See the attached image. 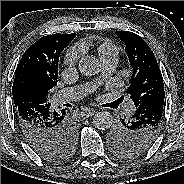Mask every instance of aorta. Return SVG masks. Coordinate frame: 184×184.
I'll return each mask as SVG.
<instances>
[{"mask_svg":"<svg viewBox=\"0 0 184 184\" xmlns=\"http://www.w3.org/2000/svg\"><path fill=\"white\" fill-rule=\"evenodd\" d=\"M78 69L81 74L92 76L101 70L98 59L93 55H87L80 59ZM113 123V116L108 111L97 112L93 117V125L100 130L109 129Z\"/></svg>","mask_w":184,"mask_h":184,"instance_id":"obj_1","label":"aorta"}]
</instances>
